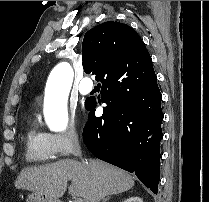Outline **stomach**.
<instances>
[{
	"mask_svg": "<svg viewBox=\"0 0 209 202\" xmlns=\"http://www.w3.org/2000/svg\"><path fill=\"white\" fill-rule=\"evenodd\" d=\"M26 202H60V200L32 191L27 195Z\"/></svg>",
	"mask_w": 209,
	"mask_h": 202,
	"instance_id": "stomach-1",
	"label": "stomach"
}]
</instances>
